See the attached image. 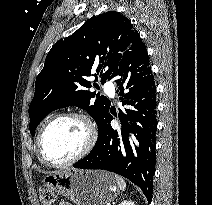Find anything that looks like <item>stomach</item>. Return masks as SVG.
I'll return each mask as SVG.
<instances>
[{
    "instance_id": "1",
    "label": "stomach",
    "mask_w": 212,
    "mask_h": 205,
    "mask_svg": "<svg viewBox=\"0 0 212 205\" xmlns=\"http://www.w3.org/2000/svg\"><path fill=\"white\" fill-rule=\"evenodd\" d=\"M43 181L75 205H106L120 192L114 174L102 170L67 169L45 176Z\"/></svg>"
}]
</instances>
